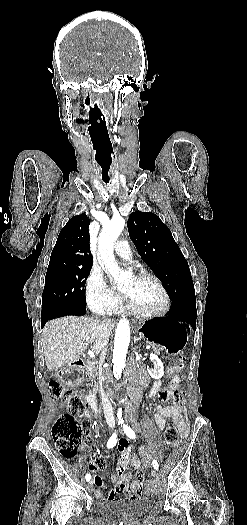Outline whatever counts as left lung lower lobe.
Returning <instances> with one entry per match:
<instances>
[{
  "instance_id": "left-lung-lower-lobe-1",
  "label": "left lung lower lobe",
  "mask_w": 247,
  "mask_h": 525,
  "mask_svg": "<svg viewBox=\"0 0 247 525\" xmlns=\"http://www.w3.org/2000/svg\"><path fill=\"white\" fill-rule=\"evenodd\" d=\"M168 317L173 321L181 320L189 323L193 328L196 327V300H184L172 303Z\"/></svg>"
}]
</instances>
